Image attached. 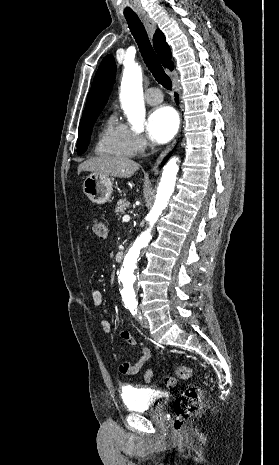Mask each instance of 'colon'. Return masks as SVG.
I'll return each mask as SVG.
<instances>
[{
    "instance_id": "5ec220e1",
    "label": "colon",
    "mask_w": 279,
    "mask_h": 465,
    "mask_svg": "<svg viewBox=\"0 0 279 465\" xmlns=\"http://www.w3.org/2000/svg\"><path fill=\"white\" fill-rule=\"evenodd\" d=\"M92 232L98 239H105L107 235L106 223L101 219H94L92 223ZM175 373L176 376L182 380H189L194 375L193 369L186 366H177ZM164 382L166 386L174 387L176 385V378L173 376H166ZM201 402V390L197 386H190L183 391L175 403V419L173 422L175 431L181 432L183 430L187 419L199 409Z\"/></svg>"
}]
</instances>
